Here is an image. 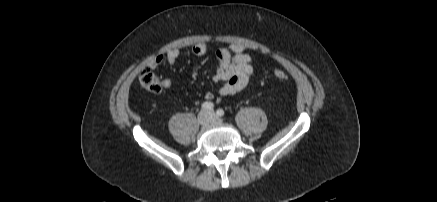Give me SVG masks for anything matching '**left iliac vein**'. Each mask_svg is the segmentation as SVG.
<instances>
[{
	"label": "left iliac vein",
	"mask_w": 437,
	"mask_h": 202,
	"mask_svg": "<svg viewBox=\"0 0 437 202\" xmlns=\"http://www.w3.org/2000/svg\"><path fill=\"white\" fill-rule=\"evenodd\" d=\"M208 113H209V115H210V117H211V121H212L213 123H221V122H222L221 119H219V118H217V117L215 116L214 112L210 111V112H208Z\"/></svg>",
	"instance_id": "left-iliac-vein-1"
}]
</instances>
